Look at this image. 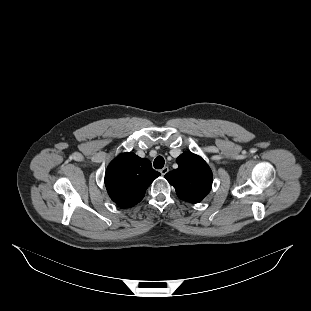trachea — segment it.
Masks as SVG:
<instances>
[{
	"label": "trachea",
	"mask_w": 311,
	"mask_h": 311,
	"mask_svg": "<svg viewBox=\"0 0 311 311\" xmlns=\"http://www.w3.org/2000/svg\"><path fill=\"white\" fill-rule=\"evenodd\" d=\"M165 164V160L162 156H157L154 160V167L156 169H162Z\"/></svg>",
	"instance_id": "trachea-1"
}]
</instances>
